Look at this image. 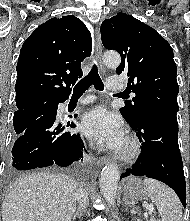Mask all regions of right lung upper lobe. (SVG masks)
<instances>
[{
	"instance_id": "right-lung-upper-lobe-1",
	"label": "right lung upper lobe",
	"mask_w": 190,
	"mask_h": 221,
	"mask_svg": "<svg viewBox=\"0 0 190 221\" xmlns=\"http://www.w3.org/2000/svg\"><path fill=\"white\" fill-rule=\"evenodd\" d=\"M91 50V34L75 16L52 18L40 25L20 50L15 113L68 98L70 86L83 75L81 62Z\"/></svg>"
}]
</instances>
